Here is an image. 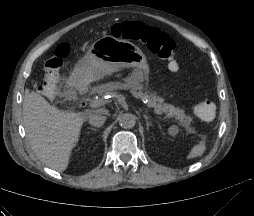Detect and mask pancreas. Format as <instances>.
<instances>
[{"label":"pancreas","instance_id":"cf45deb5","mask_svg":"<svg viewBox=\"0 0 254 216\" xmlns=\"http://www.w3.org/2000/svg\"><path fill=\"white\" fill-rule=\"evenodd\" d=\"M118 88H128L131 93L138 99L148 100V106L160 110L165 113L167 117L174 118L179 122L187 131L191 133L193 130V120L190 116H187L184 110L174 107L173 105L164 103V100L154 93L143 92V86L141 84L126 82L125 84L108 83L100 86V92L112 91Z\"/></svg>","mask_w":254,"mask_h":216}]
</instances>
